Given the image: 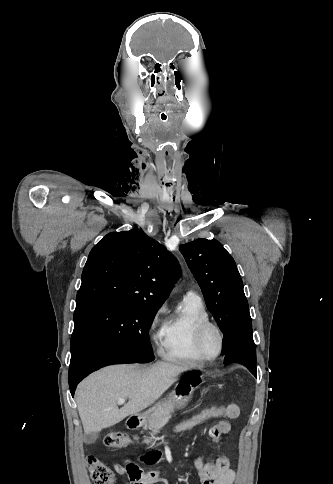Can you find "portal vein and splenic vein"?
Returning <instances> with one entry per match:
<instances>
[{
	"instance_id": "obj_1",
	"label": "portal vein and splenic vein",
	"mask_w": 333,
	"mask_h": 484,
	"mask_svg": "<svg viewBox=\"0 0 333 484\" xmlns=\"http://www.w3.org/2000/svg\"><path fill=\"white\" fill-rule=\"evenodd\" d=\"M125 402H126V399H125V398H119V399L117 400V404H118V405H123Z\"/></svg>"
}]
</instances>
